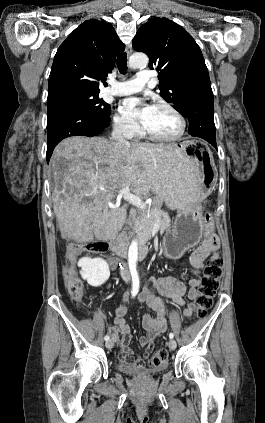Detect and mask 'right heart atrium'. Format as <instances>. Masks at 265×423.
I'll return each mask as SVG.
<instances>
[{
    "label": "right heart atrium",
    "mask_w": 265,
    "mask_h": 423,
    "mask_svg": "<svg viewBox=\"0 0 265 423\" xmlns=\"http://www.w3.org/2000/svg\"><path fill=\"white\" fill-rule=\"evenodd\" d=\"M113 127L117 133L128 139L136 137L140 131L136 122L122 114H116L114 116Z\"/></svg>",
    "instance_id": "d8ad5b80"
}]
</instances>
